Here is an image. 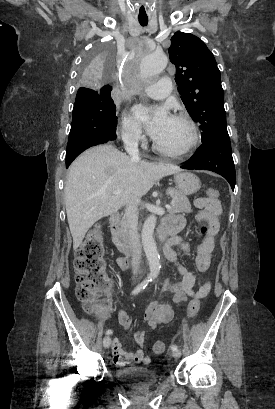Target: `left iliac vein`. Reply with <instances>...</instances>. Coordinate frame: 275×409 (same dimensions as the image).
Returning <instances> with one entry per match:
<instances>
[{
	"label": "left iliac vein",
	"mask_w": 275,
	"mask_h": 409,
	"mask_svg": "<svg viewBox=\"0 0 275 409\" xmlns=\"http://www.w3.org/2000/svg\"><path fill=\"white\" fill-rule=\"evenodd\" d=\"M172 356H173L175 359H178V358L180 357V351H179L178 349L172 351Z\"/></svg>",
	"instance_id": "4c4485c4"
}]
</instances>
